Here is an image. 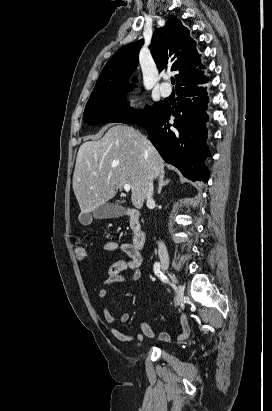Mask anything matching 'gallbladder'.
<instances>
[{
  "label": "gallbladder",
  "mask_w": 272,
  "mask_h": 411,
  "mask_svg": "<svg viewBox=\"0 0 272 411\" xmlns=\"http://www.w3.org/2000/svg\"><path fill=\"white\" fill-rule=\"evenodd\" d=\"M126 209L122 207L119 202L110 203L106 202L96 208L93 211V217L95 219H108V218H118L125 214ZM81 224L87 226L91 223V218L89 214H81L79 217Z\"/></svg>",
  "instance_id": "obj_1"
}]
</instances>
